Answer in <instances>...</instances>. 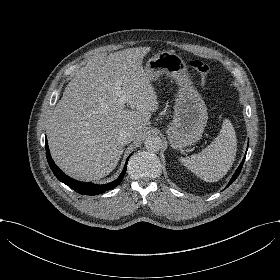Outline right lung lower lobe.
Instances as JSON below:
<instances>
[{
  "label": "right lung lower lobe",
  "instance_id": "1",
  "mask_svg": "<svg viewBox=\"0 0 280 280\" xmlns=\"http://www.w3.org/2000/svg\"><path fill=\"white\" fill-rule=\"evenodd\" d=\"M46 156H47L49 166L52 169L55 176L61 182L68 185L73 190H75L76 192H78L79 194H82V195H98V194L104 193L105 191L113 189L114 187L119 185L121 180L123 179V176H124L125 172H126L127 162H128V159H129V157H128L122 173L120 174V176L115 181H113L111 183H108V184H105V185H96V184H92V183H85V182H80V181L74 180V179L70 178L69 176H67L65 173H63L56 166V164L54 163V161L51 158L49 148H48L47 139H46Z\"/></svg>",
  "mask_w": 280,
  "mask_h": 280
}]
</instances>
